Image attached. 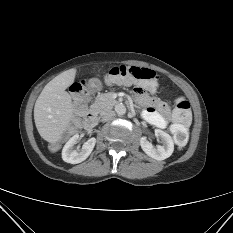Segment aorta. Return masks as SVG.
<instances>
[{
  "mask_svg": "<svg viewBox=\"0 0 233 233\" xmlns=\"http://www.w3.org/2000/svg\"><path fill=\"white\" fill-rule=\"evenodd\" d=\"M115 111L118 115H124L126 113V107L120 103L116 106Z\"/></svg>",
  "mask_w": 233,
  "mask_h": 233,
  "instance_id": "1",
  "label": "aorta"
}]
</instances>
